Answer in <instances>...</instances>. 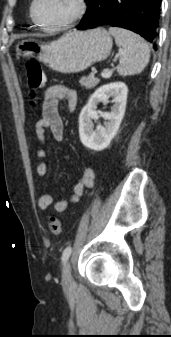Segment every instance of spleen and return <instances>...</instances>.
Returning <instances> with one entry per match:
<instances>
[{
  "label": "spleen",
  "instance_id": "1",
  "mask_svg": "<svg viewBox=\"0 0 171 337\" xmlns=\"http://www.w3.org/2000/svg\"><path fill=\"white\" fill-rule=\"evenodd\" d=\"M109 33L122 50L117 71L121 76L141 73L148 65L150 49L145 40L126 29L110 27Z\"/></svg>",
  "mask_w": 171,
  "mask_h": 337
}]
</instances>
